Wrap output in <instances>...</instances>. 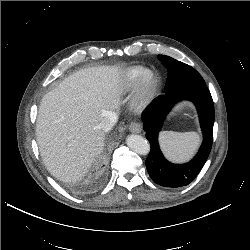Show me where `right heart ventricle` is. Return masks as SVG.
<instances>
[{
    "instance_id": "1",
    "label": "right heart ventricle",
    "mask_w": 250,
    "mask_h": 250,
    "mask_svg": "<svg viewBox=\"0 0 250 250\" xmlns=\"http://www.w3.org/2000/svg\"><path fill=\"white\" fill-rule=\"evenodd\" d=\"M145 70L142 66H131L125 69L120 78V87L124 90L133 87Z\"/></svg>"
}]
</instances>
